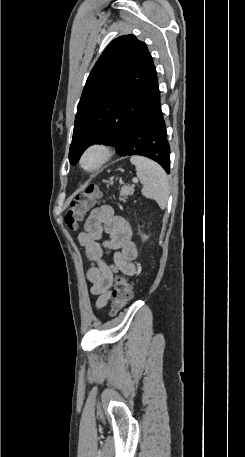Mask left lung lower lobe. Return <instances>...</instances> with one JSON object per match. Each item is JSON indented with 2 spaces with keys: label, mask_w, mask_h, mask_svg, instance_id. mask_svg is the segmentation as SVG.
Returning a JSON list of instances; mask_svg holds the SVG:
<instances>
[{
  "label": "left lung lower lobe",
  "mask_w": 245,
  "mask_h": 457,
  "mask_svg": "<svg viewBox=\"0 0 245 457\" xmlns=\"http://www.w3.org/2000/svg\"><path fill=\"white\" fill-rule=\"evenodd\" d=\"M98 141L116 146L120 156L140 155L150 158L169 174L170 147L161 111L158 79L143 106L122 114L111 129L99 131L84 145L83 151Z\"/></svg>",
  "instance_id": "obj_1"
}]
</instances>
